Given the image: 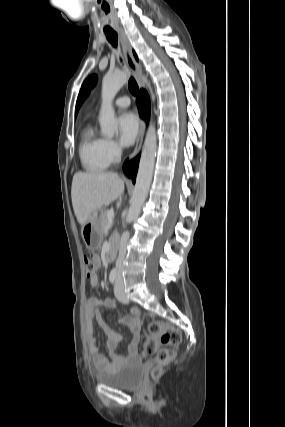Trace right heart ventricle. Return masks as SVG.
<instances>
[{
  "label": "right heart ventricle",
  "mask_w": 285,
  "mask_h": 427,
  "mask_svg": "<svg viewBox=\"0 0 285 427\" xmlns=\"http://www.w3.org/2000/svg\"><path fill=\"white\" fill-rule=\"evenodd\" d=\"M79 157L83 168L93 173L105 170L111 163L106 153V139L98 135L92 125L82 132Z\"/></svg>",
  "instance_id": "right-heart-ventricle-1"
}]
</instances>
